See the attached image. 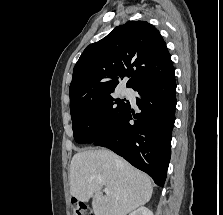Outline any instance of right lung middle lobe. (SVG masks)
<instances>
[{
	"instance_id": "1",
	"label": "right lung middle lobe",
	"mask_w": 223,
	"mask_h": 215,
	"mask_svg": "<svg viewBox=\"0 0 223 215\" xmlns=\"http://www.w3.org/2000/svg\"><path fill=\"white\" fill-rule=\"evenodd\" d=\"M128 106V101L115 99L111 94L71 108L75 141L93 143L102 138L122 119Z\"/></svg>"
}]
</instances>
